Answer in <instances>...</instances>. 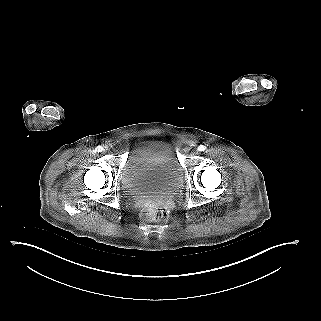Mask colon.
I'll use <instances>...</instances> for the list:
<instances>
[{
	"mask_svg": "<svg viewBox=\"0 0 321 321\" xmlns=\"http://www.w3.org/2000/svg\"><path fill=\"white\" fill-rule=\"evenodd\" d=\"M168 214L167 207L161 204H150L142 211V217L147 221H163Z\"/></svg>",
	"mask_w": 321,
	"mask_h": 321,
	"instance_id": "colon-1",
	"label": "colon"
}]
</instances>
